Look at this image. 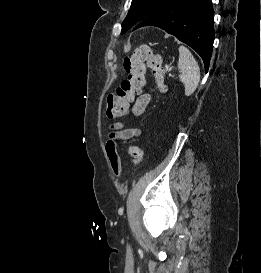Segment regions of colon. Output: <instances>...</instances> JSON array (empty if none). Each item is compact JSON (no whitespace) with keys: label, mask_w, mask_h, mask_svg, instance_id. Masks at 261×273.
Listing matches in <instances>:
<instances>
[{"label":"colon","mask_w":261,"mask_h":273,"mask_svg":"<svg viewBox=\"0 0 261 273\" xmlns=\"http://www.w3.org/2000/svg\"><path fill=\"white\" fill-rule=\"evenodd\" d=\"M123 67L127 78L121 82L116 94L107 98L106 115L110 119L122 117L127 113L130 102L145 86L148 68L153 73L157 88H163L162 57L150 45L138 46L131 55L124 58ZM128 152L133 165L142 161L144 153L140 147L132 145Z\"/></svg>","instance_id":"5ec220e1"}]
</instances>
